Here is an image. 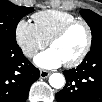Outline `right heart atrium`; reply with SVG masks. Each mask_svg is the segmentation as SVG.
<instances>
[{
  "label": "right heart atrium",
  "instance_id": "d8ad5b80",
  "mask_svg": "<svg viewBox=\"0 0 102 102\" xmlns=\"http://www.w3.org/2000/svg\"><path fill=\"white\" fill-rule=\"evenodd\" d=\"M15 37L17 44L26 57H32L38 50L45 48L48 44L35 25L24 19L17 23Z\"/></svg>",
  "mask_w": 102,
  "mask_h": 102
}]
</instances>
